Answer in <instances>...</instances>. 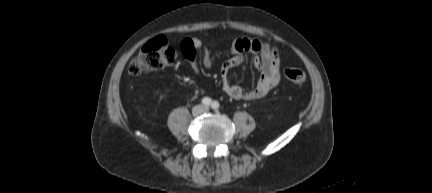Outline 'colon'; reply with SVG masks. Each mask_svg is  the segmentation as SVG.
<instances>
[{
	"mask_svg": "<svg viewBox=\"0 0 432 193\" xmlns=\"http://www.w3.org/2000/svg\"><path fill=\"white\" fill-rule=\"evenodd\" d=\"M176 57L174 48L163 37H156L147 42L138 55L131 60L127 70L132 75H143L170 65ZM284 77L287 81L302 85L306 74L301 69L286 68Z\"/></svg>",
	"mask_w": 432,
	"mask_h": 193,
	"instance_id": "1",
	"label": "colon"
}]
</instances>
